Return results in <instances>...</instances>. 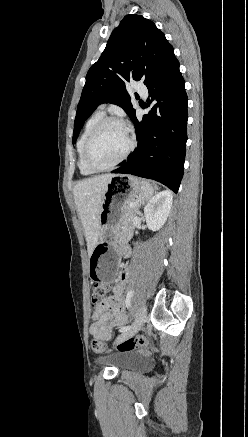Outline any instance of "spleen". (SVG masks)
Masks as SVG:
<instances>
[{"instance_id":"1","label":"spleen","mask_w":248,"mask_h":437,"mask_svg":"<svg viewBox=\"0 0 248 437\" xmlns=\"http://www.w3.org/2000/svg\"><path fill=\"white\" fill-rule=\"evenodd\" d=\"M141 184H142L143 193L140 197V202L144 203L148 201L150 197L153 195V188L147 181L143 180Z\"/></svg>"}]
</instances>
